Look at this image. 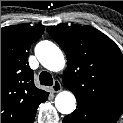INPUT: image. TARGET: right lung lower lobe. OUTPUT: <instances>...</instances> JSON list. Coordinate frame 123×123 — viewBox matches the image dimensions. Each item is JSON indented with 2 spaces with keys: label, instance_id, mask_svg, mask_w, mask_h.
<instances>
[{
  "label": "right lung lower lobe",
  "instance_id": "1",
  "mask_svg": "<svg viewBox=\"0 0 123 123\" xmlns=\"http://www.w3.org/2000/svg\"><path fill=\"white\" fill-rule=\"evenodd\" d=\"M34 118H35V116L32 118L31 121H29V123H33L34 122Z\"/></svg>",
  "mask_w": 123,
  "mask_h": 123
}]
</instances>
